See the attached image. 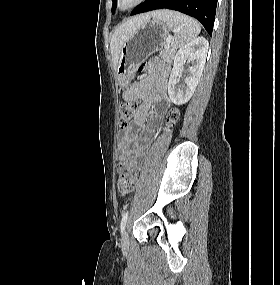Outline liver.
I'll use <instances>...</instances> for the list:
<instances>
[{
  "label": "liver",
  "mask_w": 280,
  "mask_h": 285,
  "mask_svg": "<svg viewBox=\"0 0 280 285\" xmlns=\"http://www.w3.org/2000/svg\"><path fill=\"white\" fill-rule=\"evenodd\" d=\"M156 13L157 11L137 15L120 24L114 31L110 41V50L115 68L117 67L119 55L124 42L138 29L139 26L149 21L151 17L154 18Z\"/></svg>",
  "instance_id": "1"
}]
</instances>
